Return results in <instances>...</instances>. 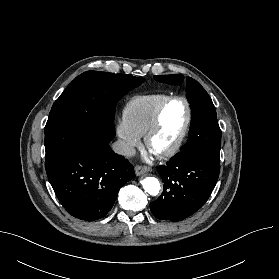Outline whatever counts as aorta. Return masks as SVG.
<instances>
[{
    "label": "aorta",
    "mask_w": 279,
    "mask_h": 279,
    "mask_svg": "<svg viewBox=\"0 0 279 279\" xmlns=\"http://www.w3.org/2000/svg\"><path fill=\"white\" fill-rule=\"evenodd\" d=\"M141 184H142L144 190L152 196L158 195V193L161 189L160 182L155 177H146L145 179H143L141 181Z\"/></svg>",
    "instance_id": "obj_1"
}]
</instances>
